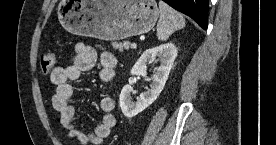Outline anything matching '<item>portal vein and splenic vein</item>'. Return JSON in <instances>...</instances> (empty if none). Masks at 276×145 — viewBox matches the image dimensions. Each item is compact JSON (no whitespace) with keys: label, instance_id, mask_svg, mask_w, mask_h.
<instances>
[{"label":"portal vein and splenic vein","instance_id":"obj_1","mask_svg":"<svg viewBox=\"0 0 276 145\" xmlns=\"http://www.w3.org/2000/svg\"><path fill=\"white\" fill-rule=\"evenodd\" d=\"M131 48H132V49H136V48H137V44H136V43H132V44H131Z\"/></svg>","mask_w":276,"mask_h":145}]
</instances>
